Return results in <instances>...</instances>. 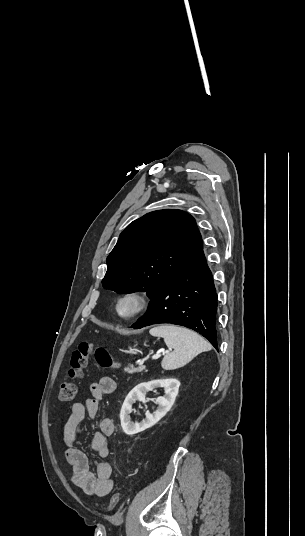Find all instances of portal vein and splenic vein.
I'll return each mask as SVG.
<instances>
[{
	"label": "portal vein and splenic vein",
	"mask_w": 305,
	"mask_h": 536,
	"mask_svg": "<svg viewBox=\"0 0 305 536\" xmlns=\"http://www.w3.org/2000/svg\"><path fill=\"white\" fill-rule=\"evenodd\" d=\"M168 352H171V350H166V352H164V350H162V352H160V354H155V356H152V360H158V358H160L161 354H162V356H164V354H168Z\"/></svg>",
	"instance_id": "portal-vein-and-splenic-vein-1"
}]
</instances>
